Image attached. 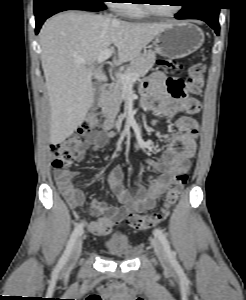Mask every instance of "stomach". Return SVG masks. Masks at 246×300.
<instances>
[{"mask_svg": "<svg viewBox=\"0 0 246 300\" xmlns=\"http://www.w3.org/2000/svg\"><path fill=\"white\" fill-rule=\"evenodd\" d=\"M204 43V33L195 24L180 21L169 24L154 41L156 51L168 58H183L197 51Z\"/></svg>", "mask_w": 246, "mask_h": 300, "instance_id": "0dacf381", "label": "stomach"}]
</instances>
